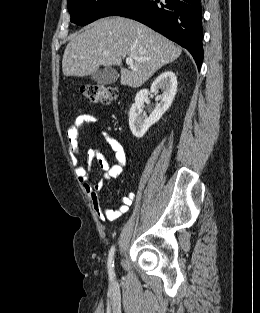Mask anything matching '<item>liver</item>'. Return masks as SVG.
<instances>
[{"instance_id":"liver-1","label":"liver","mask_w":260,"mask_h":313,"mask_svg":"<svg viewBox=\"0 0 260 313\" xmlns=\"http://www.w3.org/2000/svg\"><path fill=\"white\" fill-rule=\"evenodd\" d=\"M181 48L146 25L124 17L99 19L67 44L62 71L65 76H86L114 65L121 67V85L137 88L158 69L181 55ZM136 58L134 67H122V59Z\"/></svg>"}]
</instances>
